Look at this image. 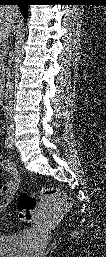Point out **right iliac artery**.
Wrapping results in <instances>:
<instances>
[{
	"mask_svg": "<svg viewBox=\"0 0 106 257\" xmlns=\"http://www.w3.org/2000/svg\"><path fill=\"white\" fill-rule=\"evenodd\" d=\"M5 148L10 149L11 148V137L7 136L5 139Z\"/></svg>",
	"mask_w": 106,
	"mask_h": 257,
	"instance_id": "82829eb1",
	"label": "right iliac artery"
}]
</instances>
